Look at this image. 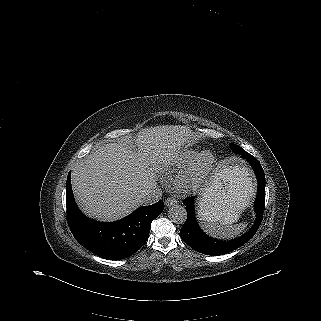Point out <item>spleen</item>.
<instances>
[{"mask_svg": "<svg viewBox=\"0 0 321 321\" xmlns=\"http://www.w3.org/2000/svg\"><path fill=\"white\" fill-rule=\"evenodd\" d=\"M199 219L205 231L217 238H233L242 233L247 224L239 223L230 225L227 218V212L222 209L221 205L208 206L198 211Z\"/></svg>", "mask_w": 321, "mask_h": 321, "instance_id": "1", "label": "spleen"}]
</instances>
